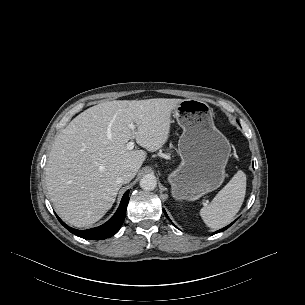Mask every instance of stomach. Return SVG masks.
<instances>
[{
	"label": "stomach",
	"mask_w": 305,
	"mask_h": 305,
	"mask_svg": "<svg viewBox=\"0 0 305 305\" xmlns=\"http://www.w3.org/2000/svg\"><path fill=\"white\" fill-rule=\"evenodd\" d=\"M174 117L183 129L178 142L181 163L168 175V182L175 199L194 201L223 183L231 146L215 127L206 102L182 100Z\"/></svg>",
	"instance_id": "0dacf381"
}]
</instances>
